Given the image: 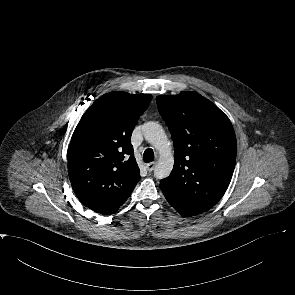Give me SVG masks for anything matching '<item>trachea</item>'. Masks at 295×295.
Returning <instances> with one entry per match:
<instances>
[{
  "label": "trachea",
  "mask_w": 295,
  "mask_h": 295,
  "mask_svg": "<svg viewBox=\"0 0 295 295\" xmlns=\"http://www.w3.org/2000/svg\"><path fill=\"white\" fill-rule=\"evenodd\" d=\"M144 162H152L154 160V152L151 148H148L144 151L143 154Z\"/></svg>",
  "instance_id": "obj_1"
}]
</instances>
